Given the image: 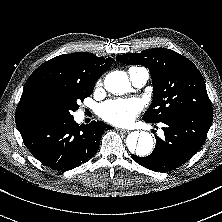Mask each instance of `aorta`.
<instances>
[{"label":"aorta","mask_w":222,"mask_h":222,"mask_svg":"<svg viewBox=\"0 0 222 222\" xmlns=\"http://www.w3.org/2000/svg\"><path fill=\"white\" fill-rule=\"evenodd\" d=\"M107 91L116 95H122L131 90V84L128 76L123 71H113L109 73L104 80ZM129 151L139 157H144L152 152L154 141L150 133L132 132L126 140Z\"/></svg>","instance_id":"obj_1"}]
</instances>
